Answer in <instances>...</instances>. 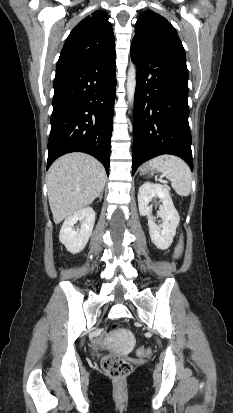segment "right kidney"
<instances>
[{
    "instance_id": "1",
    "label": "right kidney",
    "mask_w": 233,
    "mask_h": 413,
    "mask_svg": "<svg viewBox=\"0 0 233 413\" xmlns=\"http://www.w3.org/2000/svg\"><path fill=\"white\" fill-rule=\"evenodd\" d=\"M95 216L93 208L85 207L76 211L64 221L59 240L69 252L76 254L85 248L93 231ZM78 221L81 222V227L75 230L74 225Z\"/></svg>"
}]
</instances>
